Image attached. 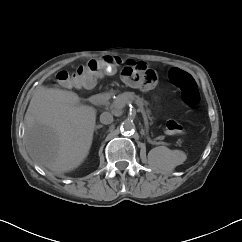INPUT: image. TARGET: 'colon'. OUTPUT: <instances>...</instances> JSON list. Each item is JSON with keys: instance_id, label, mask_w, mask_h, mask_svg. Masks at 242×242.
<instances>
[{"instance_id": "obj_1", "label": "colon", "mask_w": 242, "mask_h": 242, "mask_svg": "<svg viewBox=\"0 0 242 242\" xmlns=\"http://www.w3.org/2000/svg\"><path fill=\"white\" fill-rule=\"evenodd\" d=\"M122 69L123 76L135 85L152 86L157 80L156 73L147 68L145 64L139 65L134 61H124L118 56L106 55L92 59L80 65L76 69L61 71L56 77L59 85L64 87H91L95 84L96 77L102 72H114ZM170 80L181 89L183 103L189 107H196L200 101V94L197 85L190 74L173 68L169 74ZM183 131L182 126L174 120L166 123V132L169 135H178Z\"/></svg>"}]
</instances>
